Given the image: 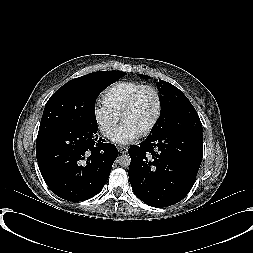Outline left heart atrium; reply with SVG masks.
<instances>
[{"label":"left heart atrium","mask_w":253,"mask_h":253,"mask_svg":"<svg viewBox=\"0 0 253 253\" xmlns=\"http://www.w3.org/2000/svg\"><path fill=\"white\" fill-rule=\"evenodd\" d=\"M141 135V132L132 127L130 124L122 122V124L115 129L111 136V140L119 145H126L136 141Z\"/></svg>","instance_id":"obj_1"}]
</instances>
